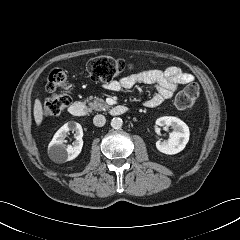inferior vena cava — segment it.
I'll return each mask as SVG.
<instances>
[{
  "label": "inferior vena cava",
  "mask_w": 240,
  "mask_h": 240,
  "mask_svg": "<svg viewBox=\"0 0 240 240\" xmlns=\"http://www.w3.org/2000/svg\"><path fill=\"white\" fill-rule=\"evenodd\" d=\"M105 122H106V119L101 114L95 115L93 118V123L95 126L102 127L105 125Z\"/></svg>",
  "instance_id": "inferior-vena-cava-1"
}]
</instances>
